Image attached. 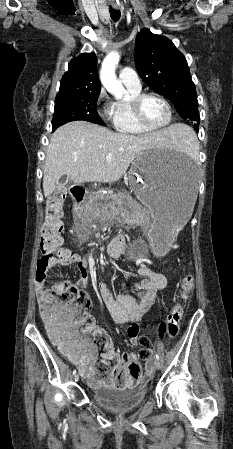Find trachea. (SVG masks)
<instances>
[{
  "mask_svg": "<svg viewBox=\"0 0 233 449\" xmlns=\"http://www.w3.org/2000/svg\"><path fill=\"white\" fill-rule=\"evenodd\" d=\"M120 15L121 14H120L119 10H116V9H113L112 7H110V16L114 22H117L120 19Z\"/></svg>",
  "mask_w": 233,
  "mask_h": 449,
  "instance_id": "3493384b",
  "label": "trachea"
}]
</instances>
